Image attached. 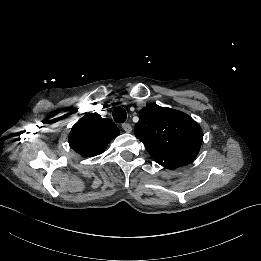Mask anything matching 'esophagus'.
<instances>
[{
	"instance_id": "esophagus-1",
	"label": "esophagus",
	"mask_w": 261,
	"mask_h": 261,
	"mask_svg": "<svg viewBox=\"0 0 261 261\" xmlns=\"http://www.w3.org/2000/svg\"><path fill=\"white\" fill-rule=\"evenodd\" d=\"M122 128H123L124 131H126L127 133H131V131H132V127H131V125L128 124V123L122 124Z\"/></svg>"
}]
</instances>
